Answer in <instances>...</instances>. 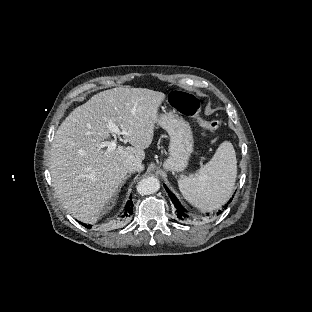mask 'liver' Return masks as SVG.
Returning a JSON list of instances; mask_svg holds the SVG:
<instances>
[{
  "mask_svg": "<svg viewBox=\"0 0 312 312\" xmlns=\"http://www.w3.org/2000/svg\"><path fill=\"white\" fill-rule=\"evenodd\" d=\"M166 95L145 88L118 87L94 95L75 108L55 133L50 152V174L56 195L67 211L87 224L113 207L128 179V165L145 159L159 122ZM114 120L132 147L101 149Z\"/></svg>",
  "mask_w": 312,
  "mask_h": 312,
  "instance_id": "obj_1",
  "label": "liver"
}]
</instances>
